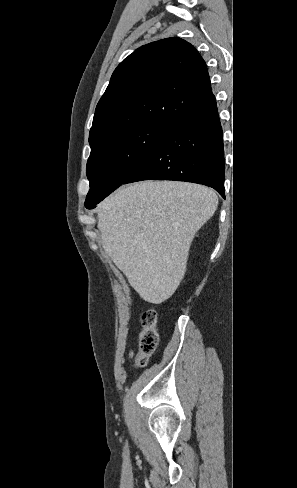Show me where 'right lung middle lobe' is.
I'll return each instance as SVG.
<instances>
[{"label":"right lung middle lobe","instance_id":"right-lung-middle-lobe-1","mask_svg":"<svg viewBox=\"0 0 297 488\" xmlns=\"http://www.w3.org/2000/svg\"><path fill=\"white\" fill-rule=\"evenodd\" d=\"M170 128L140 124L121 129L91 146L87 162L90 190L85 207L95 205L119 187Z\"/></svg>","mask_w":297,"mask_h":488}]
</instances>
